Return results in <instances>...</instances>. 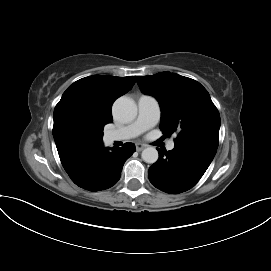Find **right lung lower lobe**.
Listing matches in <instances>:
<instances>
[{
    "label": "right lung lower lobe",
    "instance_id": "right-lung-lower-lobe-1",
    "mask_svg": "<svg viewBox=\"0 0 271 271\" xmlns=\"http://www.w3.org/2000/svg\"><path fill=\"white\" fill-rule=\"evenodd\" d=\"M135 152L133 143L108 151L104 147L94 156L82 161L67 171L72 181L89 191H100L112 187L121 176L124 162Z\"/></svg>",
    "mask_w": 271,
    "mask_h": 271
}]
</instances>
